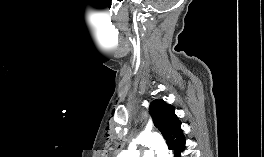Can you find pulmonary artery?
<instances>
[{"label":"pulmonary artery","instance_id":"obj_1","mask_svg":"<svg viewBox=\"0 0 264 157\" xmlns=\"http://www.w3.org/2000/svg\"><path fill=\"white\" fill-rule=\"evenodd\" d=\"M142 157H154L153 151L145 150Z\"/></svg>","mask_w":264,"mask_h":157}]
</instances>
